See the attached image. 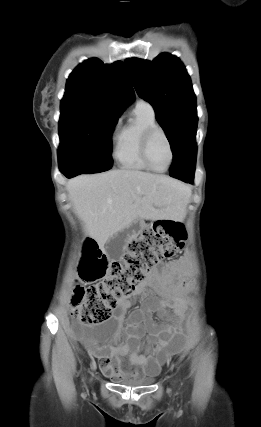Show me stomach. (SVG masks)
Returning a JSON list of instances; mask_svg holds the SVG:
<instances>
[{
    "label": "stomach",
    "instance_id": "0dacf381",
    "mask_svg": "<svg viewBox=\"0 0 261 427\" xmlns=\"http://www.w3.org/2000/svg\"><path fill=\"white\" fill-rule=\"evenodd\" d=\"M136 231H137V228L136 227H134V228H132L131 229V232L134 234V233H136Z\"/></svg>",
    "mask_w": 261,
    "mask_h": 427
}]
</instances>
